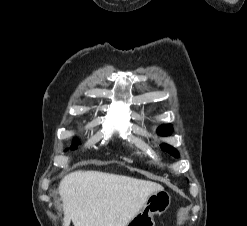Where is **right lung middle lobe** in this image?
Wrapping results in <instances>:
<instances>
[{
    "label": "right lung middle lobe",
    "instance_id": "dd1d6c3e",
    "mask_svg": "<svg viewBox=\"0 0 247 226\" xmlns=\"http://www.w3.org/2000/svg\"><path fill=\"white\" fill-rule=\"evenodd\" d=\"M78 142L76 141L75 144H77ZM76 145L72 146L71 149H75Z\"/></svg>",
    "mask_w": 247,
    "mask_h": 226
}]
</instances>
